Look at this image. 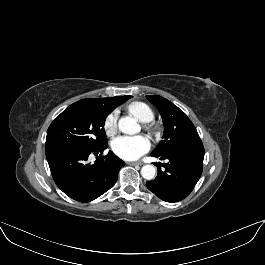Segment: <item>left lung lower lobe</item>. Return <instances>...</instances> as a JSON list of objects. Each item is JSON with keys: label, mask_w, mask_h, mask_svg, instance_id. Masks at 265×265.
Listing matches in <instances>:
<instances>
[{"label": "left lung lower lobe", "mask_w": 265, "mask_h": 265, "mask_svg": "<svg viewBox=\"0 0 265 265\" xmlns=\"http://www.w3.org/2000/svg\"><path fill=\"white\" fill-rule=\"evenodd\" d=\"M168 162L154 163L157 177L146 186L157 197L166 202H178L187 197L199 180L204 159L202 141L192 142L168 151L165 154H151ZM161 166L164 169H161Z\"/></svg>", "instance_id": "0a47b994"}]
</instances>
